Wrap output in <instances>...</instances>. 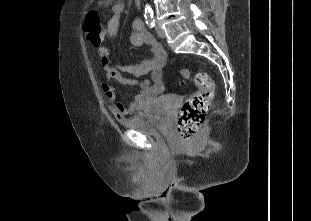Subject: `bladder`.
<instances>
[{"instance_id": "obj_1", "label": "bladder", "mask_w": 311, "mask_h": 221, "mask_svg": "<svg viewBox=\"0 0 311 221\" xmlns=\"http://www.w3.org/2000/svg\"><path fill=\"white\" fill-rule=\"evenodd\" d=\"M175 100L174 94L158 96L152 108L133 115L124 126L138 130L143 135L165 134L171 125L170 110Z\"/></svg>"}]
</instances>
